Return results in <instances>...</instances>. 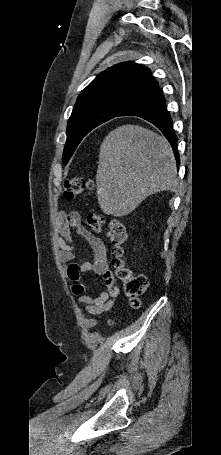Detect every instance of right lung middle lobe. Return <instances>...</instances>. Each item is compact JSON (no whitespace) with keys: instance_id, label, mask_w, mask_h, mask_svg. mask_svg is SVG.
<instances>
[{"instance_id":"right-lung-middle-lobe-1","label":"right lung middle lobe","mask_w":221,"mask_h":455,"mask_svg":"<svg viewBox=\"0 0 221 455\" xmlns=\"http://www.w3.org/2000/svg\"><path fill=\"white\" fill-rule=\"evenodd\" d=\"M124 109L110 103H93L73 109L67 125V141L63 152L66 165L83 137L98 125L119 116Z\"/></svg>"}]
</instances>
